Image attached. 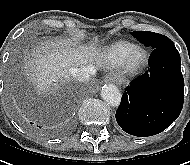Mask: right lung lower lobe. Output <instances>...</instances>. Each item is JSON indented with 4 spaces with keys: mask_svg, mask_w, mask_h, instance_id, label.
<instances>
[{
    "mask_svg": "<svg viewBox=\"0 0 190 165\" xmlns=\"http://www.w3.org/2000/svg\"><path fill=\"white\" fill-rule=\"evenodd\" d=\"M27 122H28V120H26ZM30 124H34V123H32V122H30ZM34 127H36V125L34 124ZM37 127L40 129L41 128V126H39V125H37Z\"/></svg>",
    "mask_w": 190,
    "mask_h": 165,
    "instance_id": "right-lung-lower-lobe-1",
    "label": "right lung lower lobe"
}]
</instances>
